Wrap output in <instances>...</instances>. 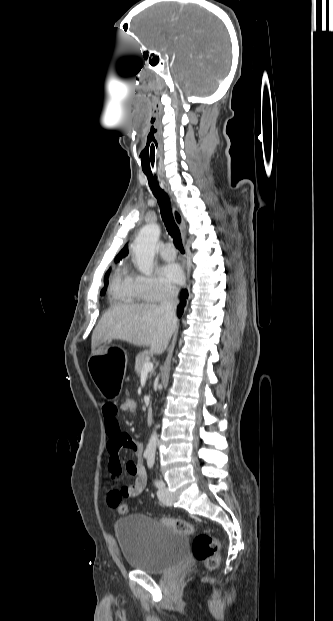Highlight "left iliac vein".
Returning <instances> with one entry per match:
<instances>
[{
    "mask_svg": "<svg viewBox=\"0 0 333 621\" xmlns=\"http://www.w3.org/2000/svg\"><path fill=\"white\" fill-rule=\"evenodd\" d=\"M157 494H158V498H159V500H160V501H161L164 505L171 506V505L173 504V499H172V497H171V495H170V493H169L168 489H167L165 486H163V487L159 488V490H158V493H157Z\"/></svg>",
    "mask_w": 333,
    "mask_h": 621,
    "instance_id": "1",
    "label": "left iliac vein"
}]
</instances>
